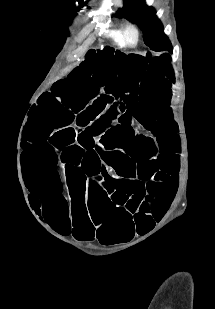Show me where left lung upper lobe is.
Masks as SVG:
<instances>
[{
    "label": "left lung upper lobe",
    "instance_id": "left-lung-upper-lobe-1",
    "mask_svg": "<svg viewBox=\"0 0 215 309\" xmlns=\"http://www.w3.org/2000/svg\"><path fill=\"white\" fill-rule=\"evenodd\" d=\"M116 16L135 22L143 31L144 42L150 49L163 51L170 48V42L154 10L146 6L144 0H125V7Z\"/></svg>",
    "mask_w": 215,
    "mask_h": 309
}]
</instances>
